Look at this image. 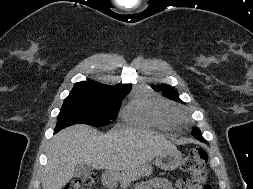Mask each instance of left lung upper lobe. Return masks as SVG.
I'll return each instance as SVG.
<instances>
[{
	"mask_svg": "<svg viewBox=\"0 0 253 189\" xmlns=\"http://www.w3.org/2000/svg\"><path fill=\"white\" fill-rule=\"evenodd\" d=\"M153 89L157 90V91H162L164 94H166L167 96H169L170 98L177 100V101H181L178 97V93L176 92V90L168 85H160V86H153ZM201 134L199 128H196L192 131V134Z\"/></svg>",
	"mask_w": 253,
	"mask_h": 189,
	"instance_id": "5c2ea615",
	"label": "left lung upper lobe"
}]
</instances>
